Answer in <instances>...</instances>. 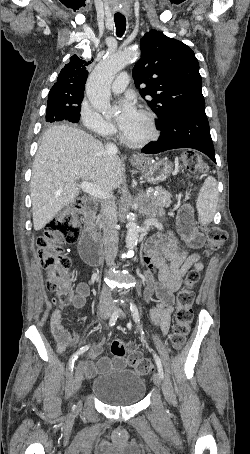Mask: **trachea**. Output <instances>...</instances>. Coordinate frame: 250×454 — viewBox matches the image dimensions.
I'll return each instance as SVG.
<instances>
[{"instance_id": "obj_1", "label": "trachea", "mask_w": 250, "mask_h": 454, "mask_svg": "<svg viewBox=\"0 0 250 454\" xmlns=\"http://www.w3.org/2000/svg\"><path fill=\"white\" fill-rule=\"evenodd\" d=\"M114 21L116 27V35L118 37H122L126 30V18L122 15H115Z\"/></svg>"}]
</instances>
